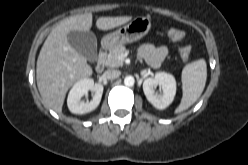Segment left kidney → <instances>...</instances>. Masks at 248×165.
I'll list each match as a JSON object with an SVG mask.
<instances>
[{
    "label": "left kidney",
    "mask_w": 248,
    "mask_h": 165,
    "mask_svg": "<svg viewBox=\"0 0 248 165\" xmlns=\"http://www.w3.org/2000/svg\"><path fill=\"white\" fill-rule=\"evenodd\" d=\"M160 86L162 88V94H156L155 88ZM143 91L147 100L159 110H163L168 107L176 94V81L173 75L158 72L154 78H147L143 82Z\"/></svg>",
    "instance_id": "5707ae66"
}]
</instances>
